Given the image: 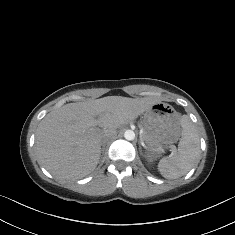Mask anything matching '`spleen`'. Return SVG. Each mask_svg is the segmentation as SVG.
<instances>
[{"label":"spleen","instance_id":"3e777b00","mask_svg":"<svg viewBox=\"0 0 235 235\" xmlns=\"http://www.w3.org/2000/svg\"><path fill=\"white\" fill-rule=\"evenodd\" d=\"M182 127L178 154L172 158H162L157 165L158 173L165 179H178L186 175L200 161V139L189 116H183Z\"/></svg>","mask_w":235,"mask_h":235}]
</instances>
